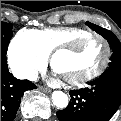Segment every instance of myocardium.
<instances>
[{
  "label": "myocardium",
  "mask_w": 121,
  "mask_h": 121,
  "mask_svg": "<svg viewBox=\"0 0 121 121\" xmlns=\"http://www.w3.org/2000/svg\"><path fill=\"white\" fill-rule=\"evenodd\" d=\"M90 39H98L103 43L104 49H105L104 59H103L101 65L93 71L87 72L82 75L64 77V80L69 84H79V83H84L86 81L94 79L95 77L99 76L106 69V67L108 66V63H109L110 55H111V46H110L109 41L104 36L97 34V33L86 34V35L80 37L79 39H77L74 43H72L70 45L56 47L50 55V66H51L52 70L55 71L54 61H55V58L60 53L74 54V49H75L76 44L85 43Z\"/></svg>",
  "instance_id": "f54148a6"
}]
</instances>
